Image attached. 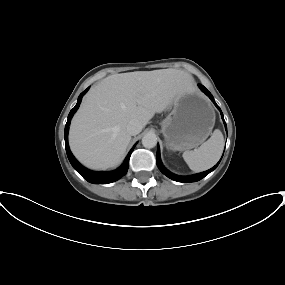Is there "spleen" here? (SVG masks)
Wrapping results in <instances>:
<instances>
[{
	"instance_id": "spleen-1",
	"label": "spleen",
	"mask_w": 285,
	"mask_h": 285,
	"mask_svg": "<svg viewBox=\"0 0 285 285\" xmlns=\"http://www.w3.org/2000/svg\"><path fill=\"white\" fill-rule=\"evenodd\" d=\"M224 146V137L219 129L199 148L185 151L183 159L192 171L201 172L214 166L220 159Z\"/></svg>"
}]
</instances>
